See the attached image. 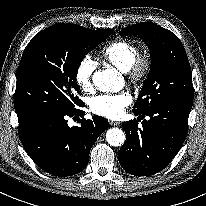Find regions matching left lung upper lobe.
<instances>
[{
    "label": "left lung upper lobe",
    "mask_w": 206,
    "mask_h": 206,
    "mask_svg": "<svg viewBox=\"0 0 206 206\" xmlns=\"http://www.w3.org/2000/svg\"><path fill=\"white\" fill-rule=\"evenodd\" d=\"M120 35H138L148 45L151 68L133 112L145 113L157 104L193 105L190 64L180 39L154 23L142 22L127 27Z\"/></svg>",
    "instance_id": "1"
}]
</instances>
